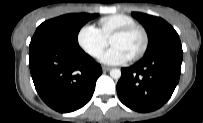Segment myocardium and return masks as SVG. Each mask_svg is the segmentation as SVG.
Segmentation results:
<instances>
[{
	"instance_id": "myocardium-1",
	"label": "myocardium",
	"mask_w": 203,
	"mask_h": 123,
	"mask_svg": "<svg viewBox=\"0 0 203 123\" xmlns=\"http://www.w3.org/2000/svg\"><path fill=\"white\" fill-rule=\"evenodd\" d=\"M133 31H140L143 35V45L141 47V49L131 57V60H137L139 58H141L147 51L148 49V46H149V36H148V33L146 31V29L140 25H130V26H126V27H123V28H120L118 30H116L110 37V43H111V40L114 38V37H117V36H124V35H127Z\"/></svg>"
}]
</instances>
